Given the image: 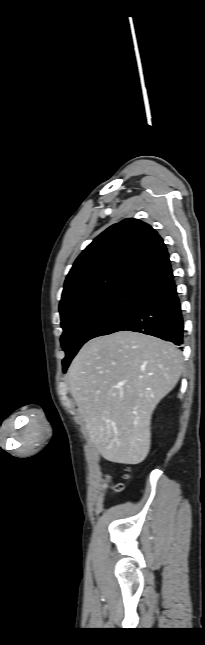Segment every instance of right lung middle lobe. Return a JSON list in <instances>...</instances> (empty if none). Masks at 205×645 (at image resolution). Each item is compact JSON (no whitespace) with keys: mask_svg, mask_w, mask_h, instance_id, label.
I'll return each mask as SVG.
<instances>
[{"mask_svg":"<svg viewBox=\"0 0 205 645\" xmlns=\"http://www.w3.org/2000/svg\"><path fill=\"white\" fill-rule=\"evenodd\" d=\"M143 294V286L124 284L109 291L74 301L60 310L65 372L80 347L100 336L131 309Z\"/></svg>","mask_w":205,"mask_h":645,"instance_id":"right-lung-middle-lobe-1","label":"right lung middle lobe"}]
</instances>
